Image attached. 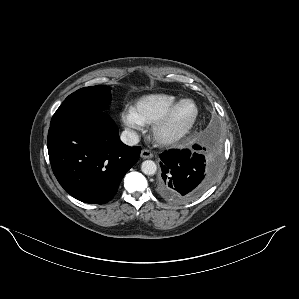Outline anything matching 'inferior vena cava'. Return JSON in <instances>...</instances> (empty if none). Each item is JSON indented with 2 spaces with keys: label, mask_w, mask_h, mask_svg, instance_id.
<instances>
[{
  "label": "inferior vena cava",
  "mask_w": 299,
  "mask_h": 299,
  "mask_svg": "<svg viewBox=\"0 0 299 299\" xmlns=\"http://www.w3.org/2000/svg\"><path fill=\"white\" fill-rule=\"evenodd\" d=\"M120 139L128 146H134L139 143V136L133 130H124L120 136Z\"/></svg>",
  "instance_id": "inferior-vena-cava-1"
}]
</instances>
